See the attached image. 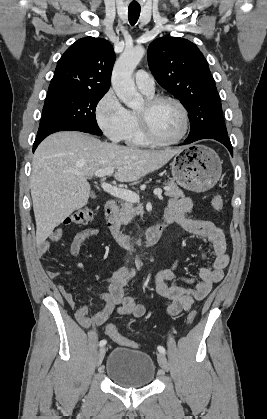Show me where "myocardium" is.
Listing matches in <instances>:
<instances>
[{
  "label": "myocardium",
  "mask_w": 267,
  "mask_h": 419,
  "mask_svg": "<svg viewBox=\"0 0 267 419\" xmlns=\"http://www.w3.org/2000/svg\"><path fill=\"white\" fill-rule=\"evenodd\" d=\"M169 101L174 103L181 111L183 116V129L181 133L174 139L164 140L159 138L153 131L150 124V112L160 103ZM146 108L144 111L137 112V118L140 129L144 137L154 145L167 146L179 143L187 134L190 124L189 113L185 105L177 98L169 95L150 96L145 101Z\"/></svg>",
  "instance_id": "obj_1"
}]
</instances>
